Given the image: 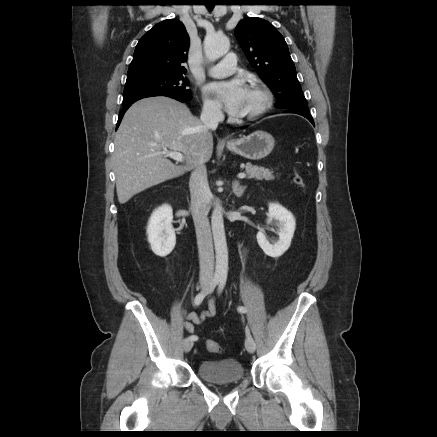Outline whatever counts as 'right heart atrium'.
Segmentation results:
<instances>
[{
	"instance_id": "obj_1",
	"label": "right heart atrium",
	"mask_w": 437,
	"mask_h": 437,
	"mask_svg": "<svg viewBox=\"0 0 437 437\" xmlns=\"http://www.w3.org/2000/svg\"><path fill=\"white\" fill-rule=\"evenodd\" d=\"M202 111L204 116L209 118H218L221 115V109L219 104L209 97L203 98Z\"/></svg>"
}]
</instances>
